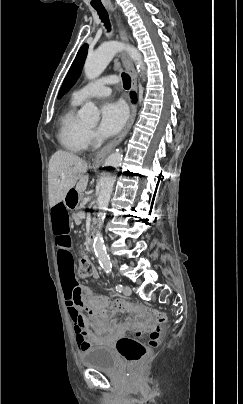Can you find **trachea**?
Instances as JSON below:
<instances>
[{"instance_id":"1","label":"trachea","mask_w":243,"mask_h":404,"mask_svg":"<svg viewBox=\"0 0 243 404\" xmlns=\"http://www.w3.org/2000/svg\"><path fill=\"white\" fill-rule=\"evenodd\" d=\"M93 8H95V10L97 11L99 18L101 19L102 23L104 24L107 32L110 33L111 24L109 21V16H108L107 10L103 6H97V7H93ZM121 76H122V80H123V87L128 90L131 86V78L129 77L128 74H125L124 72H122Z\"/></svg>"}]
</instances>
